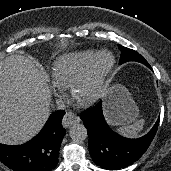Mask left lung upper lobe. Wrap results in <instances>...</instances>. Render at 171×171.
<instances>
[{"label":"left lung upper lobe","mask_w":171,"mask_h":171,"mask_svg":"<svg viewBox=\"0 0 171 171\" xmlns=\"http://www.w3.org/2000/svg\"><path fill=\"white\" fill-rule=\"evenodd\" d=\"M119 49L121 50V56H120V64H123L128 61H137L141 62L146 66H150L148 62L136 51L126 48L122 45H118Z\"/></svg>","instance_id":"obj_1"}]
</instances>
